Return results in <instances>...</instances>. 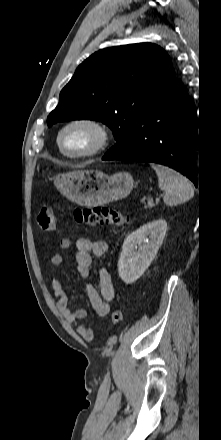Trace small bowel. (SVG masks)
Listing matches in <instances>:
<instances>
[{
	"label": "small bowel",
	"mask_w": 221,
	"mask_h": 440,
	"mask_svg": "<svg viewBox=\"0 0 221 440\" xmlns=\"http://www.w3.org/2000/svg\"><path fill=\"white\" fill-rule=\"evenodd\" d=\"M76 247V269L82 278H89L91 275L92 256L102 257L108 249L105 241H91L88 238L81 237L73 240L72 238H64L60 241L59 247L61 250H67L72 245ZM63 264V256L61 253H54L51 256V265L53 268H58ZM99 285L98 289L92 284L86 287V293L94 312L100 316L105 317L110 312V302L114 298V287L111 275L105 268L99 270ZM51 287L53 296L57 299L56 307L58 311L64 316L67 322L77 324L79 321L86 318L87 313L84 309L78 308L71 311L69 308V300L62 283L55 277H51ZM77 332L86 341H92L95 333L92 328L85 325H78Z\"/></svg>",
	"instance_id": "small-bowel-1"
}]
</instances>
